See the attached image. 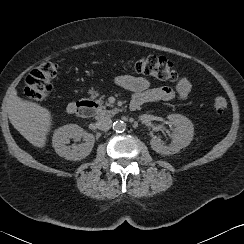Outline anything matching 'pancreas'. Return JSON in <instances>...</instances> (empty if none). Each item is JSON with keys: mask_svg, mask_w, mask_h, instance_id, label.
I'll list each match as a JSON object with an SVG mask.
<instances>
[{"mask_svg": "<svg viewBox=\"0 0 244 244\" xmlns=\"http://www.w3.org/2000/svg\"><path fill=\"white\" fill-rule=\"evenodd\" d=\"M113 108V106H110ZM111 111L110 110H106L105 106H102L101 108H99L98 113H97V117H105V116H110L111 115Z\"/></svg>", "mask_w": 244, "mask_h": 244, "instance_id": "1", "label": "pancreas"}]
</instances>
